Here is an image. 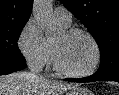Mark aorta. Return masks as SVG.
I'll return each mask as SVG.
<instances>
[{"label": "aorta", "mask_w": 119, "mask_h": 95, "mask_svg": "<svg viewBox=\"0 0 119 95\" xmlns=\"http://www.w3.org/2000/svg\"><path fill=\"white\" fill-rule=\"evenodd\" d=\"M33 16L40 24L47 38H52L60 30V26L53 16L52 0H35L33 3Z\"/></svg>", "instance_id": "1"}]
</instances>
